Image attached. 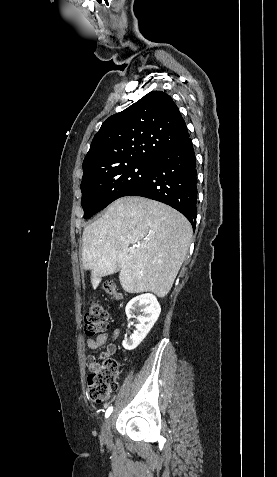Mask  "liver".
I'll list each match as a JSON object with an SVG mask.
<instances>
[{"label": "liver", "instance_id": "1", "mask_svg": "<svg viewBox=\"0 0 277 477\" xmlns=\"http://www.w3.org/2000/svg\"><path fill=\"white\" fill-rule=\"evenodd\" d=\"M190 222L172 207L143 197H122L83 231L82 264L95 288L118 271L129 293L165 297L187 255Z\"/></svg>", "mask_w": 277, "mask_h": 477}]
</instances>
